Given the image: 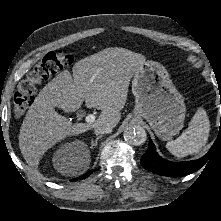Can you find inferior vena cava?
<instances>
[{"instance_id":"1","label":"inferior vena cava","mask_w":221,"mask_h":221,"mask_svg":"<svg viewBox=\"0 0 221 221\" xmlns=\"http://www.w3.org/2000/svg\"><path fill=\"white\" fill-rule=\"evenodd\" d=\"M112 130H113V127L108 124L107 125L100 124L94 127V132L96 135L111 133Z\"/></svg>"}]
</instances>
